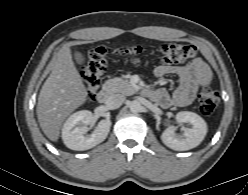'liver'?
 Masks as SVG:
<instances>
[{
  "label": "liver",
  "instance_id": "6515ba94",
  "mask_svg": "<svg viewBox=\"0 0 248 195\" xmlns=\"http://www.w3.org/2000/svg\"><path fill=\"white\" fill-rule=\"evenodd\" d=\"M86 99L87 90L74 65L71 49L63 46L38 97L36 113L44 134L56 142L65 119Z\"/></svg>",
  "mask_w": 248,
  "mask_h": 195
}]
</instances>
